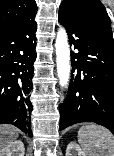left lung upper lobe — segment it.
Segmentation results:
<instances>
[{"mask_svg":"<svg viewBox=\"0 0 114 156\" xmlns=\"http://www.w3.org/2000/svg\"><path fill=\"white\" fill-rule=\"evenodd\" d=\"M61 5L72 8L84 18L112 34L109 16L99 0H63Z\"/></svg>","mask_w":114,"mask_h":156,"instance_id":"1","label":"left lung upper lobe"}]
</instances>
